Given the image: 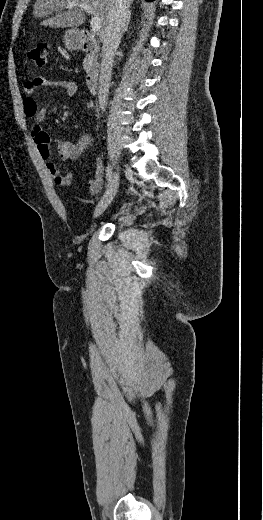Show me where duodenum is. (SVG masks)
I'll list each match as a JSON object with an SVG mask.
<instances>
[{
  "instance_id": "410a0bca",
  "label": "duodenum",
  "mask_w": 263,
  "mask_h": 520,
  "mask_svg": "<svg viewBox=\"0 0 263 520\" xmlns=\"http://www.w3.org/2000/svg\"><path fill=\"white\" fill-rule=\"evenodd\" d=\"M80 46L81 49L86 52L90 58V63L86 70L85 83L89 92L91 94H95L99 84L100 70L97 59L100 49L95 39L88 31H83L81 33Z\"/></svg>"
}]
</instances>
